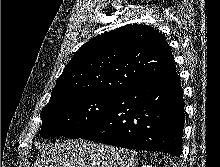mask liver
Returning a JSON list of instances; mask_svg holds the SVG:
<instances>
[{
  "label": "liver",
  "mask_w": 220,
  "mask_h": 167,
  "mask_svg": "<svg viewBox=\"0 0 220 167\" xmlns=\"http://www.w3.org/2000/svg\"><path fill=\"white\" fill-rule=\"evenodd\" d=\"M134 154L126 149L83 140L46 144L34 167H130Z\"/></svg>",
  "instance_id": "1"
}]
</instances>
